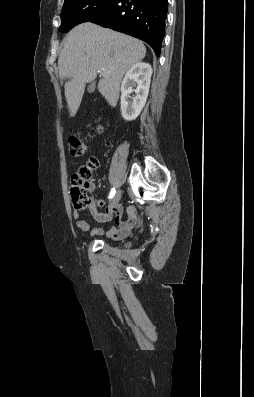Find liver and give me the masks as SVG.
Wrapping results in <instances>:
<instances>
[{
    "mask_svg": "<svg viewBox=\"0 0 254 397\" xmlns=\"http://www.w3.org/2000/svg\"><path fill=\"white\" fill-rule=\"evenodd\" d=\"M145 55L144 44L128 35L89 22L74 27L58 58L60 78L69 79L64 89L70 116L79 109L86 83L98 73L102 75L98 90L115 107L124 74Z\"/></svg>",
    "mask_w": 254,
    "mask_h": 397,
    "instance_id": "liver-1",
    "label": "liver"
}]
</instances>
